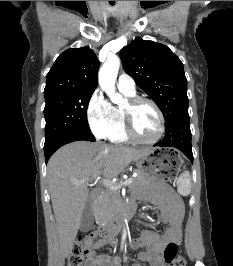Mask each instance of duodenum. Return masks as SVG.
I'll use <instances>...</instances> for the list:
<instances>
[{"mask_svg":"<svg viewBox=\"0 0 233 266\" xmlns=\"http://www.w3.org/2000/svg\"><path fill=\"white\" fill-rule=\"evenodd\" d=\"M94 204H97L99 197H100V192L98 190H95L92 194ZM135 211V208L132 204H127L121 209L120 212V218L119 222L116 224H111V223H106L101 225L97 231L98 233L107 241L112 242L114 236L118 232L121 222L124 218H130L133 216Z\"/></svg>","mask_w":233,"mask_h":266,"instance_id":"410a0bca","label":"duodenum"}]
</instances>
